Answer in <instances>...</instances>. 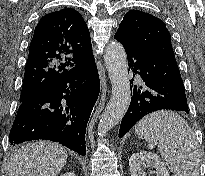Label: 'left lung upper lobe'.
Here are the masks:
<instances>
[{
  "instance_id": "5c2ea615",
  "label": "left lung upper lobe",
  "mask_w": 205,
  "mask_h": 176,
  "mask_svg": "<svg viewBox=\"0 0 205 176\" xmlns=\"http://www.w3.org/2000/svg\"><path fill=\"white\" fill-rule=\"evenodd\" d=\"M116 33L130 44L155 55L175 58L171 35L159 18L139 10L125 14Z\"/></svg>"
}]
</instances>
